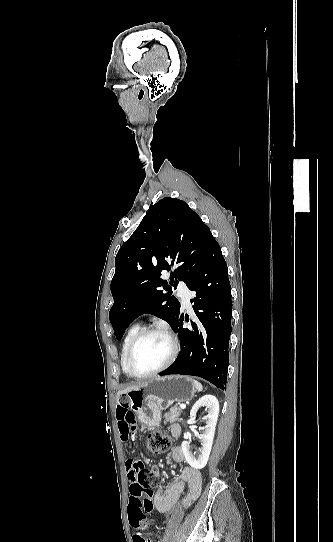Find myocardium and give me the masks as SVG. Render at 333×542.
<instances>
[{"instance_id": "myocardium-1", "label": "myocardium", "mask_w": 333, "mask_h": 542, "mask_svg": "<svg viewBox=\"0 0 333 542\" xmlns=\"http://www.w3.org/2000/svg\"><path fill=\"white\" fill-rule=\"evenodd\" d=\"M129 238H130V235H129ZM152 334H159V335H162L163 337L166 338V340L168 341V344H169V348H170L169 355H168L166 361L159 368H157L156 370H154V371H152L150 373H147V374H143V375L136 374V373L133 372V370L131 368V358H132L133 352H134L136 346L138 345V343L143 338H145L148 335H152ZM178 352H179V346H178L177 337L175 336V334L169 328H167L166 326H163V325L144 327V328H142L140 330V332L132 340V342H131V344H130V346L128 348V352H127V356H126V370H127V373H128L129 376H131L133 378H137V379H147V378L156 376L157 374H159L162 371L166 370L176 360Z\"/></svg>"}]
</instances>
